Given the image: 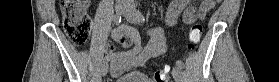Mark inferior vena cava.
<instances>
[{"instance_id": "1", "label": "inferior vena cava", "mask_w": 279, "mask_h": 82, "mask_svg": "<svg viewBox=\"0 0 279 82\" xmlns=\"http://www.w3.org/2000/svg\"><path fill=\"white\" fill-rule=\"evenodd\" d=\"M118 2H121L125 6V12L129 13L133 9L132 0H118Z\"/></svg>"}]
</instances>
